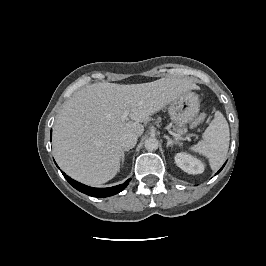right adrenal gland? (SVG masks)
Here are the masks:
<instances>
[{"label":"right adrenal gland","mask_w":266,"mask_h":266,"mask_svg":"<svg viewBox=\"0 0 266 266\" xmlns=\"http://www.w3.org/2000/svg\"><path fill=\"white\" fill-rule=\"evenodd\" d=\"M125 151H129V149H127V150H125ZM124 159H125V154H124V152H123V154H122V164H121V167H123V164H124Z\"/></svg>","instance_id":"1"}]
</instances>
